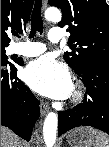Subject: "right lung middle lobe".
I'll return each mask as SVG.
<instances>
[{"mask_svg": "<svg viewBox=\"0 0 109 147\" xmlns=\"http://www.w3.org/2000/svg\"><path fill=\"white\" fill-rule=\"evenodd\" d=\"M5 58H6L5 49L1 48V62L2 63H7Z\"/></svg>", "mask_w": 109, "mask_h": 147, "instance_id": "right-lung-middle-lobe-1", "label": "right lung middle lobe"}]
</instances>
